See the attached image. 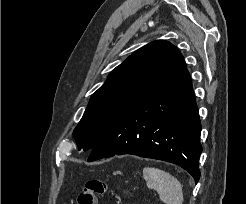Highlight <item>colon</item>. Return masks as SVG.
I'll return each mask as SVG.
<instances>
[{
	"instance_id": "colon-1",
	"label": "colon",
	"mask_w": 246,
	"mask_h": 204,
	"mask_svg": "<svg viewBox=\"0 0 246 204\" xmlns=\"http://www.w3.org/2000/svg\"><path fill=\"white\" fill-rule=\"evenodd\" d=\"M107 185L103 180H88L80 194L78 195V204H96L97 199L105 194Z\"/></svg>"
}]
</instances>
